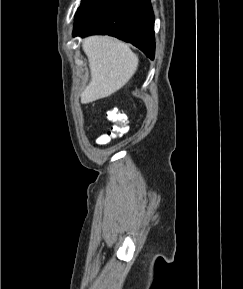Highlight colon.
I'll return each instance as SVG.
<instances>
[{
	"label": "colon",
	"instance_id": "5ec220e1",
	"mask_svg": "<svg viewBox=\"0 0 243 289\" xmlns=\"http://www.w3.org/2000/svg\"><path fill=\"white\" fill-rule=\"evenodd\" d=\"M107 119L111 123L108 131L97 138V144L104 145L111 139L124 135L128 131L127 117L117 108L107 111Z\"/></svg>",
	"mask_w": 243,
	"mask_h": 289
}]
</instances>
